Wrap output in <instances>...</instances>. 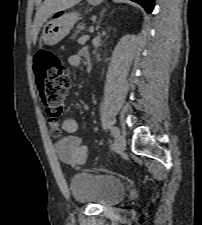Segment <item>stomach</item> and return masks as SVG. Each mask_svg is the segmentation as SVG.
<instances>
[{
  "mask_svg": "<svg viewBox=\"0 0 202 225\" xmlns=\"http://www.w3.org/2000/svg\"><path fill=\"white\" fill-rule=\"evenodd\" d=\"M103 0H88L91 5H99ZM78 12L65 13L63 10L50 16V20L44 25L41 39L46 45H56L63 40L79 21Z\"/></svg>",
  "mask_w": 202,
  "mask_h": 225,
  "instance_id": "stomach-1",
  "label": "stomach"
}]
</instances>
